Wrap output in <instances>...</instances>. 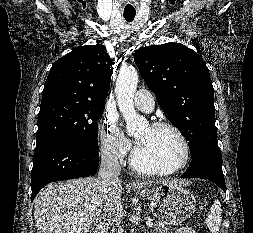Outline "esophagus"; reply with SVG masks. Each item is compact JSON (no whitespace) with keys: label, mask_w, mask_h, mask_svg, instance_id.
Here are the masks:
<instances>
[{"label":"esophagus","mask_w":253,"mask_h":233,"mask_svg":"<svg viewBox=\"0 0 253 233\" xmlns=\"http://www.w3.org/2000/svg\"><path fill=\"white\" fill-rule=\"evenodd\" d=\"M129 184L131 186H137V185H139V182L132 180V181L129 182Z\"/></svg>","instance_id":"34e87169"}]
</instances>
